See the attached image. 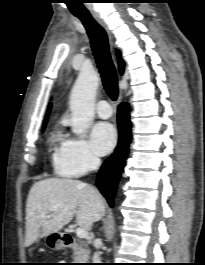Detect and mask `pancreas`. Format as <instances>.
<instances>
[{"instance_id": "cf45deb5", "label": "pancreas", "mask_w": 205, "mask_h": 265, "mask_svg": "<svg viewBox=\"0 0 205 265\" xmlns=\"http://www.w3.org/2000/svg\"><path fill=\"white\" fill-rule=\"evenodd\" d=\"M73 259L78 263H83L89 259V250L87 248H79L74 252Z\"/></svg>"}]
</instances>
